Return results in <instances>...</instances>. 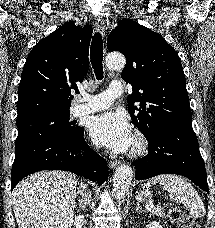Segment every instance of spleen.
I'll return each instance as SVG.
<instances>
[{
  "instance_id": "1",
  "label": "spleen",
  "mask_w": 215,
  "mask_h": 228,
  "mask_svg": "<svg viewBox=\"0 0 215 228\" xmlns=\"http://www.w3.org/2000/svg\"><path fill=\"white\" fill-rule=\"evenodd\" d=\"M156 184H161L170 196L176 198L180 204H184L192 218H203L205 216V206L198 192L185 178L175 176V174H162V176H155V178L148 180L146 188L156 186Z\"/></svg>"
}]
</instances>
